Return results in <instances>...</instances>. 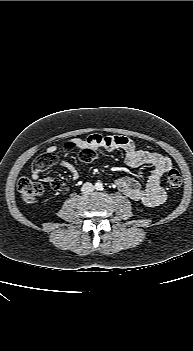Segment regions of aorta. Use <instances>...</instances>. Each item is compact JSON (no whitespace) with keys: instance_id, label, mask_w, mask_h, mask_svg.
I'll use <instances>...</instances> for the list:
<instances>
[{"instance_id":"aorta-1","label":"aorta","mask_w":193,"mask_h":351,"mask_svg":"<svg viewBox=\"0 0 193 351\" xmlns=\"http://www.w3.org/2000/svg\"><path fill=\"white\" fill-rule=\"evenodd\" d=\"M95 188H96L97 190H102V189H103L102 183H96V184H95Z\"/></svg>"}]
</instances>
